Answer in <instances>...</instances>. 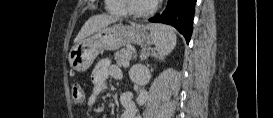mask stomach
I'll return each instance as SVG.
<instances>
[{
	"label": "stomach",
	"instance_id": "0dacf381",
	"mask_svg": "<svg viewBox=\"0 0 273 118\" xmlns=\"http://www.w3.org/2000/svg\"><path fill=\"white\" fill-rule=\"evenodd\" d=\"M153 43L145 27L108 25L77 42L68 54L70 67L77 72L86 71L103 50H117L128 44L149 46Z\"/></svg>",
	"mask_w": 273,
	"mask_h": 118
}]
</instances>
